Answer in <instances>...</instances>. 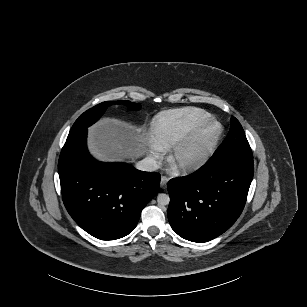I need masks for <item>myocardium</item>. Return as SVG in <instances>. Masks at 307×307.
<instances>
[{
    "mask_svg": "<svg viewBox=\"0 0 307 307\" xmlns=\"http://www.w3.org/2000/svg\"><path fill=\"white\" fill-rule=\"evenodd\" d=\"M215 125H219L221 131L203 145L204 138ZM224 131L225 128L223 123L214 120L199 129L186 141L176 146L169 157L171 172L178 175L187 174L204 166L216 152L224 136ZM197 150L198 154L195 157H190V155Z\"/></svg>",
    "mask_w": 307,
    "mask_h": 307,
    "instance_id": "obj_1",
    "label": "myocardium"
}]
</instances>
